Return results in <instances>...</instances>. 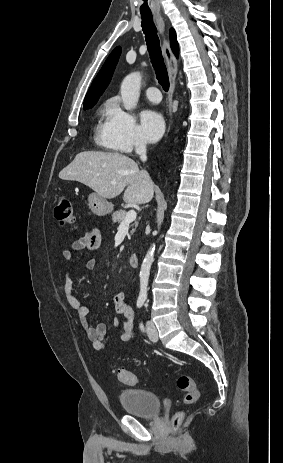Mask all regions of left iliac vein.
<instances>
[{
  "label": "left iliac vein",
  "instance_id": "4c4485c4",
  "mask_svg": "<svg viewBox=\"0 0 283 463\" xmlns=\"http://www.w3.org/2000/svg\"><path fill=\"white\" fill-rule=\"evenodd\" d=\"M146 332L151 341L156 342L158 340V332L155 324L152 321L146 322Z\"/></svg>",
  "mask_w": 283,
  "mask_h": 463
}]
</instances>
